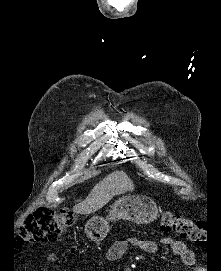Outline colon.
I'll use <instances>...</instances> for the list:
<instances>
[{
	"label": "colon",
	"instance_id": "obj_1",
	"mask_svg": "<svg viewBox=\"0 0 221 271\" xmlns=\"http://www.w3.org/2000/svg\"><path fill=\"white\" fill-rule=\"evenodd\" d=\"M75 221V215L69 208H62L60 213L47 206H41L32 211L25 219L24 226L19 230L16 241L21 246L24 243L51 242L65 234ZM162 227L184 239L203 246L207 242V231L202 223L190 218L164 211L161 215ZM50 255L49 259H54Z\"/></svg>",
	"mask_w": 221,
	"mask_h": 271
}]
</instances>
